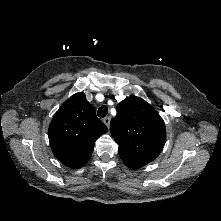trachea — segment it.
<instances>
[{"mask_svg":"<svg viewBox=\"0 0 221 221\" xmlns=\"http://www.w3.org/2000/svg\"><path fill=\"white\" fill-rule=\"evenodd\" d=\"M98 116L100 118H104L107 114H108V108L107 106L103 105L101 106L99 109H98V112H97Z\"/></svg>","mask_w":221,"mask_h":221,"instance_id":"3493384b","label":"trachea"}]
</instances>
